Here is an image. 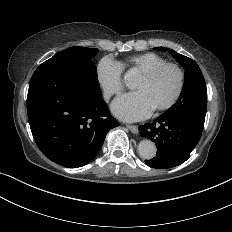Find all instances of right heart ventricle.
Returning a JSON list of instances; mask_svg holds the SVG:
<instances>
[{"mask_svg":"<svg viewBox=\"0 0 232 232\" xmlns=\"http://www.w3.org/2000/svg\"><path fill=\"white\" fill-rule=\"evenodd\" d=\"M167 62L166 58L159 53L146 51L131 56L123 65L125 68L137 69L141 75L155 66Z\"/></svg>","mask_w":232,"mask_h":232,"instance_id":"1","label":"right heart ventricle"}]
</instances>
